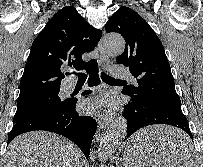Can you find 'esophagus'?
<instances>
[{"instance_id": "obj_1", "label": "esophagus", "mask_w": 203, "mask_h": 167, "mask_svg": "<svg viewBox=\"0 0 203 167\" xmlns=\"http://www.w3.org/2000/svg\"><path fill=\"white\" fill-rule=\"evenodd\" d=\"M98 51H99V62L100 65L102 66L103 69L107 70L109 66V57L105 54L103 48H102V43L101 41L98 44ZM111 118L110 117H105V118H100L98 119V127L99 129H104L108 124L110 123Z\"/></svg>"}]
</instances>
